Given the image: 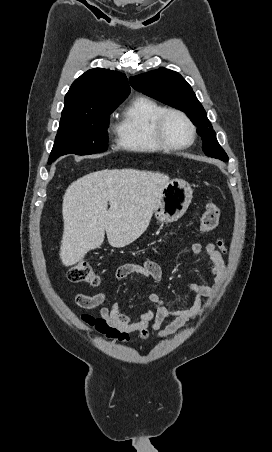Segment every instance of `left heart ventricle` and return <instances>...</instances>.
Listing matches in <instances>:
<instances>
[{
    "label": "left heart ventricle",
    "mask_w": 272,
    "mask_h": 452,
    "mask_svg": "<svg viewBox=\"0 0 272 452\" xmlns=\"http://www.w3.org/2000/svg\"><path fill=\"white\" fill-rule=\"evenodd\" d=\"M165 133L168 139L176 144L185 143L190 139V131L185 121L175 114L165 119Z\"/></svg>",
    "instance_id": "1"
}]
</instances>
